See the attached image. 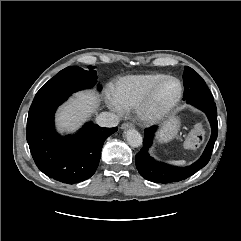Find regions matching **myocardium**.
<instances>
[{"label": "myocardium", "instance_id": "obj_1", "mask_svg": "<svg viewBox=\"0 0 241 241\" xmlns=\"http://www.w3.org/2000/svg\"><path fill=\"white\" fill-rule=\"evenodd\" d=\"M168 80H173L178 84L177 96L165 106L155 108L154 100L160 87ZM183 96V85L174 76H165L159 80L138 104L136 109L137 118L144 124H155L166 118L172 110L179 104Z\"/></svg>", "mask_w": 241, "mask_h": 241}]
</instances>
